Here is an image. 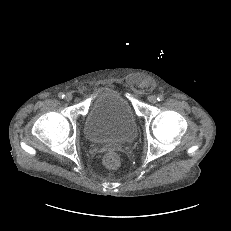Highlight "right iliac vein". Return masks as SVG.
Returning a JSON list of instances; mask_svg holds the SVG:
<instances>
[{"label":"right iliac vein","mask_w":231,"mask_h":231,"mask_svg":"<svg viewBox=\"0 0 231 231\" xmlns=\"http://www.w3.org/2000/svg\"><path fill=\"white\" fill-rule=\"evenodd\" d=\"M72 98H73V96H72L71 93H67V94L65 95V100H66V101H71Z\"/></svg>","instance_id":"right-iliac-vein-1"}]
</instances>
